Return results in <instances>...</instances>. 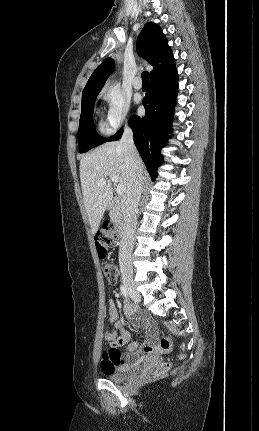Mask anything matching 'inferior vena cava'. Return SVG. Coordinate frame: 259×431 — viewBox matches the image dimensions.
I'll return each mask as SVG.
<instances>
[{
  "label": "inferior vena cava",
  "mask_w": 259,
  "mask_h": 431,
  "mask_svg": "<svg viewBox=\"0 0 259 431\" xmlns=\"http://www.w3.org/2000/svg\"><path fill=\"white\" fill-rule=\"evenodd\" d=\"M127 169L131 176V184L123 199V231L119 248V263L121 266L129 265L134 246L135 230L137 225L136 210L143 188V171L141 159L134 145L133 132L126 125L120 140Z\"/></svg>",
  "instance_id": "602c4592"
}]
</instances>
